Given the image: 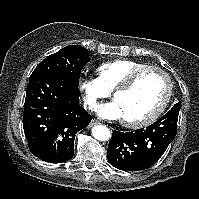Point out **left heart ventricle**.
I'll list each match as a JSON object with an SVG mask.
<instances>
[{
	"label": "left heart ventricle",
	"instance_id": "b2bd125f",
	"mask_svg": "<svg viewBox=\"0 0 199 199\" xmlns=\"http://www.w3.org/2000/svg\"><path fill=\"white\" fill-rule=\"evenodd\" d=\"M167 91L165 78L158 72L143 75L129 91L116 95L122 118L140 120L150 115L162 102Z\"/></svg>",
	"mask_w": 199,
	"mask_h": 199
}]
</instances>
